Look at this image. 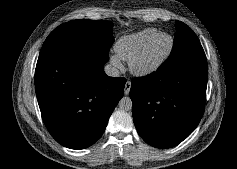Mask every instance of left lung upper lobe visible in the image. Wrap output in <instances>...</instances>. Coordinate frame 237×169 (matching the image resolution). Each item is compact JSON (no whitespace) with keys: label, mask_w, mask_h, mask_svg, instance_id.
<instances>
[{"label":"left lung upper lobe","mask_w":237,"mask_h":169,"mask_svg":"<svg viewBox=\"0 0 237 169\" xmlns=\"http://www.w3.org/2000/svg\"><path fill=\"white\" fill-rule=\"evenodd\" d=\"M176 36L168 59L162 64L165 68L196 58H206L201 43L192 29L181 21H176Z\"/></svg>","instance_id":"1"}]
</instances>
